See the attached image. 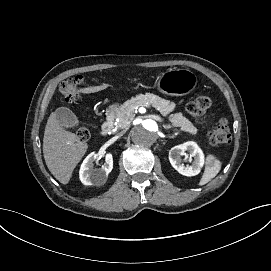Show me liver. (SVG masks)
<instances>
[{
    "mask_svg": "<svg viewBox=\"0 0 271 271\" xmlns=\"http://www.w3.org/2000/svg\"><path fill=\"white\" fill-rule=\"evenodd\" d=\"M110 85L111 83L90 85L79 88L78 92L94 93L102 91ZM88 149V142L80 140L78 135L59 125L55 112L50 115L45 129L43 153L49 171L61 184L69 183L74 169Z\"/></svg>",
    "mask_w": 271,
    "mask_h": 271,
    "instance_id": "1",
    "label": "liver"
}]
</instances>
